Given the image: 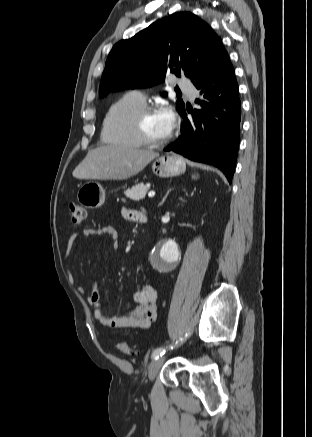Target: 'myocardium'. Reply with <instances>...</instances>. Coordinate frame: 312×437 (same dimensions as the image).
I'll use <instances>...</instances> for the list:
<instances>
[{
	"label": "myocardium",
	"mask_w": 312,
	"mask_h": 437,
	"mask_svg": "<svg viewBox=\"0 0 312 437\" xmlns=\"http://www.w3.org/2000/svg\"><path fill=\"white\" fill-rule=\"evenodd\" d=\"M155 112H157L156 107L144 104L143 106L138 108L133 114V117H132L133 131H134L138 141L141 143V145L163 146V145L168 144L172 138V135L169 134L163 140H153L146 135V133L143 129V126H142L143 119L147 115H150V114L155 113Z\"/></svg>",
	"instance_id": "myocardium-1"
}]
</instances>
